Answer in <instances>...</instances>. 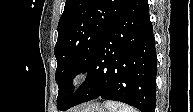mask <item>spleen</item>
<instances>
[{
    "label": "spleen",
    "instance_id": "obj_1",
    "mask_svg": "<svg viewBox=\"0 0 193 112\" xmlns=\"http://www.w3.org/2000/svg\"><path fill=\"white\" fill-rule=\"evenodd\" d=\"M104 106L108 112H138L133 107L114 101H106Z\"/></svg>",
    "mask_w": 193,
    "mask_h": 112
}]
</instances>
